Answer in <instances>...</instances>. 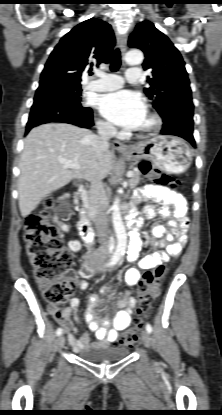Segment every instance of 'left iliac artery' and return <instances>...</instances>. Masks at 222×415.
Wrapping results in <instances>:
<instances>
[{"instance_id":"1","label":"left iliac artery","mask_w":222,"mask_h":415,"mask_svg":"<svg viewBox=\"0 0 222 415\" xmlns=\"http://www.w3.org/2000/svg\"><path fill=\"white\" fill-rule=\"evenodd\" d=\"M146 330L151 333L152 332V326L150 324H146Z\"/></svg>"}]
</instances>
